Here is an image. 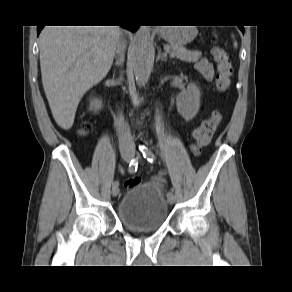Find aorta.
<instances>
[{
  "label": "aorta",
  "mask_w": 292,
  "mask_h": 292,
  "mask_svg": "<svg viewBox=\"0 0 292 292\" xmlns=\"http://www.w3.org/2000/svg\"><path fill=\"white\" fill-rule=\"evenodd\" d=\"M131 57L136 81L142 85L147 79L151 58V34L148 26H141L136 31Z\"/></svg>",
  "instance_id": "1"
}]
</instances>
